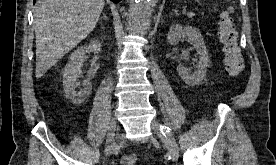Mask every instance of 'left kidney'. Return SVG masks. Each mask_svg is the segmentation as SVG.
<instances>
[{"label":"left kidney","mask_w":276,"mask_h":165,"mask_svg":"<svg viewBox=\"0 0 276 165\" xmlns=\"http://www.w3.org/2000/svg\"><path fill=\"white\" fill-rule=\"evenodd\" d=\"M184 37H188L189 42L195 45L199 55V60L196 64V70L194 72H191L190 69L182 65L177 67V72L186 84L194 86L199 84L206 76L210 59L202 35L199 29L195 27H183L179 24H176L170 28L167 40L169 44L177 45L178 42Z\"/></svg>","instance_id":"left-kidney-1"}]
</instances>
